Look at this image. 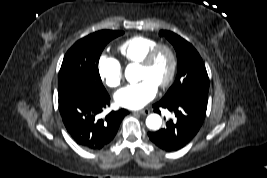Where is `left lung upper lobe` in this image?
Here are the masks:
<instances>
[{"label": "left lung upper lobe", "mask_w": 267, "mask_h": 178, "mask_svg": "<svg viewBox=\"0 0 267 178\" xmlns=\"http://www.w3.org/2000/svg\"><path fill=\"white\" fill-rule=\"evenodd\" d=\"M174 46L178 72L173 85L161 100H179L198 97L208 100L209 79L205 65L197 50L185 39L170 31H160Z\"/></svg>", "instance_id": "5c2ea615"}]
</instances>
